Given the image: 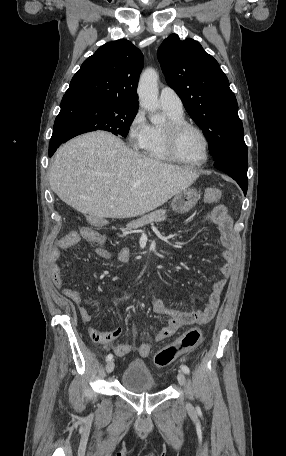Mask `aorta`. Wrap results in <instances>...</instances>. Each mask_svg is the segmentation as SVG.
<instances>
[{"instance_id":"1","label":"aorta","mask_w":286,"mask_h":456,"mask_svg":"<svg viewBox=\"0 0 286 456\" xmlns=\"http://www.w3.org/2000/svg\"><path fill=\"white\" fill-rule=\"evenodd\" d=\"M158 73L152 69H146L140 76L137 93L140 105L152 113V123L158 124L164 121V116L156 113L159 108L158 102Z\"/></svg>"}]
</instances>
